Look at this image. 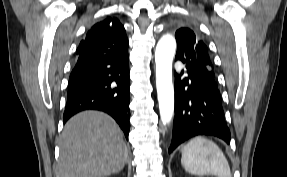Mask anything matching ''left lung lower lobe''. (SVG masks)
I'll use <instances>...</instances> for the list:
<instances>
[{
  "mask_svg": "<svg viewBox=\"0 0 287 177\" xmlns=\"http://www.w3.org/2000/svg\"><path fill=\"white\" fill-rule=\"evenodd\" d=\"M175 60L181 59L176 56ZM182 74L186 76L181 78ZM203 134L230 142L216 82L186 64L180 74L175 72V118L169 153L188 138Z\"/></svg>",
  "mask_w": 287,
  "mask_h": 177,
  "instance_id": "left-lung-lower-lobe-1",
  "label": "left lung lower lobe"
}]
</instances>
